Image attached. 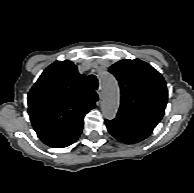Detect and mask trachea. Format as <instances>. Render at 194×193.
Wrapping results in <instances>:
<instances>
[{"label":"trachea","instance_id":"3493384b","mask_svg":"<svg viewBox=\"0 0 194 193\" xmlns=\"http://www.w3.org/2000/svg\"><path fill=\"white\" fill-rule=\"evenodd\" d=\"M88 85L93 89L96 90L98 88V80L95 75H90L88 77Z\"/></svg>","mask_w":194,"mask_h":193}]
</instances>
